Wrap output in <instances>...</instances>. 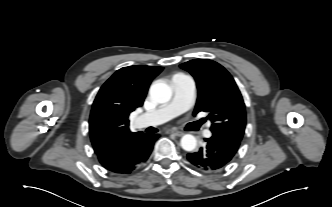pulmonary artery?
<instances>
[{"instance_id": "obj_1", "label": "pulmonary artery", "mask_w": 332, "mask_h": 207, "mask_svg": "<svg viewBox=\"0 0 332 207\" xmlns=\"http://www.w3.org/2000/svg\"><path fill=\"white\" fill-rule=\"evenodd\" d=\"M173 98L157 109L146 112L137 117L139 127L163 124L188 110L195 99V83L190 76L175 75L172 79ZM205 137L211 136L210 129L204 131Z\"/></svg>"}]
</instances>
